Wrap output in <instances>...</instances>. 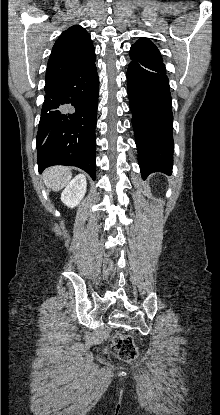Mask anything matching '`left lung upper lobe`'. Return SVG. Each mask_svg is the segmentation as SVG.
<instances>
[{"mask_svg":"<svg viewBox=\"0 0 220 415\" xmlns=\"http://www.w3.org/2000/svg\"><path fill=\"white\" fill-rule=\"evenodd\" d=\"M130 58L134 59H148L155 61H162L161 54L157 47L147 38H140L131 46Z\"/></svg>","mask_w":220,"mask_h":415,"instance_id":"obj_1","label":"left lung upper lobe"}]
</instances>
